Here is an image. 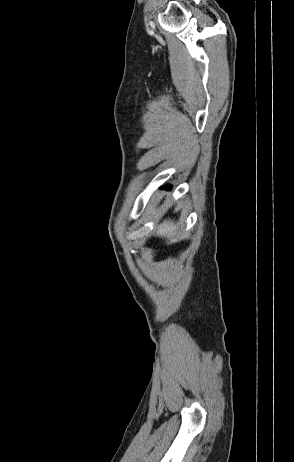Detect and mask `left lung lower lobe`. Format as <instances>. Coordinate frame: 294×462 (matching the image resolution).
Returning a JSON list of instances; mask_svg holds the SVG:
<instances>
[{"label": "left lung lower lobe", "instance_id": "obj_1", "mask_svg": "<svg viewBox=\"0 0 294 462\" xmlns=\"http://www.w3.org/2000/svg\"><path fill=\"white\" fill-rule=\"evenodd\" d=\"M168 188H170V186L161 187V189H165V190H168Z\"/></svg>", "mask_w": 294, "mask_h": 462}]
</instances>
